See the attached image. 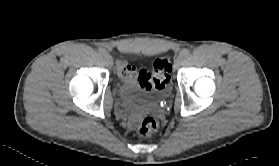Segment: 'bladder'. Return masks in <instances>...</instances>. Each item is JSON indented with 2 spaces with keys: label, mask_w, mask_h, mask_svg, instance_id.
Segmentation results:
<instances>
[{
  "label": "bladder",
  "mask_w": 279,
  "mask_h": 166,
  "mask_svg": "<svg viewBox=\"0 0 279 166\" xmlns=\"http://www.w3.org/2000/svg\"><path fill=\"white\" fill-rule=\"evenodd\" d=\"M121 92L125 98H136L135 92H137V89L131 81H127V83L122 86Z\"/></svg>",
  "instance_id": "obj_1"
}]
</instances>
